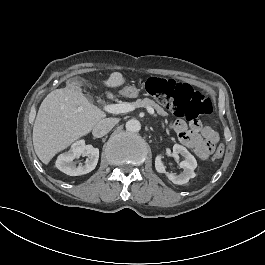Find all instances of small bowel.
Returning <instances> with one entry per match:
<instances>
[{
	"label": "small bowel",
	"mask_w": 265,
	"mask_h": 265,
	"mask_svg": "<svg viewBox=\"0 0 265 265\" xmlns=\"http://www.w3.org/2000/svg\"><path fill=\"white\" fill-rule=\"evenodd\" d=\"M170 128L176 133L180 143L190 149L201 161H207L219 140L218 133L199 121L187 123L183 119L171 121Z\"/></svg>",
	"instance_id": "1"
}]
</instances>
